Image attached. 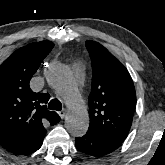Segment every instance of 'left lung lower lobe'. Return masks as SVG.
Wrapping results in <instances>:
<instances>
[{
	"mask_svg": "<svg viewBox=\"0 0 165 165\" xmlns=\"http://www.w3.org/2000/svg\"><path fill=\"white\" fill-rule=\"evenodd\" d=\"M76 147L83 153L102 157L115 151L121 143L108 139L101 134L88 129L87 133L80 138H76Z\"/></svg>",
	"mask_w": 165,
	"mask_h": 165,
	"instance_id": "left-lung-lower-lobe-1",
	"label": "left lung lower lobe"
}]
</instances>
